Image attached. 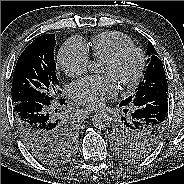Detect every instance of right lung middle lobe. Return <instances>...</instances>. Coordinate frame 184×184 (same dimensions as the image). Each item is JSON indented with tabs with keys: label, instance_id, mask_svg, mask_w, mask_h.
Listing matches in <instances>:
<instances>
[{
	"label": "right lung middle lobe",
	"instance_id": "right-lung-middle-lobe-1",
	"mask_svg": "<svg viewBox=\"0 0 184 184\" xmlns=\"http://www.w3.org/2000/svg\"><path fill=\"white\" fill-rule=\"evenodd\" d=\"M54 34L39 36L19 56L12 79V101L17 103L32 100L52 103L57 96ZM75 145V131L70 125L62 127L55 142L43 149H34L32 154L44 163L56 164L65 161Z\"/></svg>",
	"mask_w": 184,
	"mask_h": 184
}]
</instances>
